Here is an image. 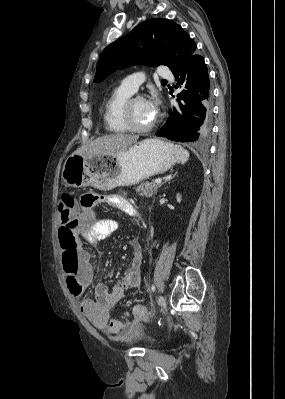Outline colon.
Returning a JSON list of instances; mask_svg holds the SVG:
<instances>
[{"label": "colon", "instance_id": "5ec220e1", "mask_svg": "<svg viewBox=\"0 0 285 399\" xmlns=\"http://www.w3.org/2000/svg\"><path fill=\"white\" fill-rule=\"evenodd\" d=\"M99 197L96 194H87L81 200V205L92 207L98 203ZM76 199L71 194H65L60 202L61 210V223L63 227L67 226V213L75 206ZM64 273L67 278L68 287L70 292L77 296L80 294V281H79V252L75 249H69L64 252L62 256ZM147 310L142 305H134L127 312L118 318L112 320V325L121 327L128 326L131 322L144 317Z\"/></svg>", "mask_w": 285, "mask_h": 399}]
</instances>
